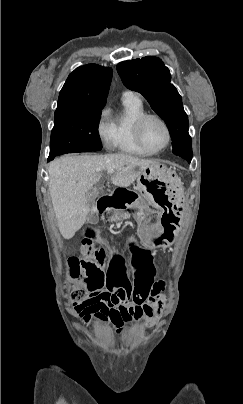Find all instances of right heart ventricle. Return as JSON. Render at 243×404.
Here are the masks:
<instances>
[{"label": "right heart ventricle", "mask_w": 243, "mask_h": 404, "mask_svg": "<svg viewBox=\"0 0 243 404\" xmlns=\"http://www.w3.org/2000/svg\"><path fill=\"white\" fill-rule=\"evenodd\" d=\"M143 113H145V107L138 93L124 91L121 99V112L113 119L116 150L118 152L136 157H146L154 154L143 148L134 135V122Z\"/></svg>", "instance_id": "1"}]
</instances>
